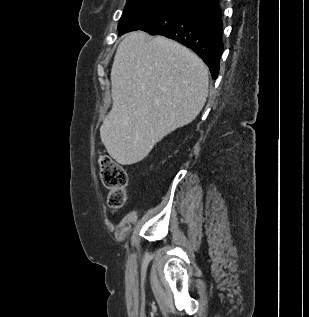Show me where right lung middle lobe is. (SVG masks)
<instances>
[{
  "label": "right lung middle lobe",
  "mask_w": 309,
  "mask_h": 317,
  "mask_svg": "<svg viewBox=\"0 0 309 317\" xmlns=\"http://www.w3.org/2000/svg\"><path fill=\"white\" fill-rule=\"evenodd\" d=\"M179 0H127L118 24L119 33L126 30L138 18Z\"/></svg>",
  "instance_id": "1"
}]
</instances>
